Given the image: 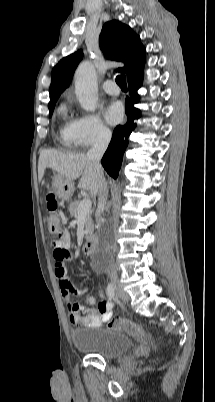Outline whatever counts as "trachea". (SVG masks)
<instances>
[{
	"instance_id": "obj_1",
	"label": "trachea",
	"mask_w": 215,
	"mask_h": 402,
	"mask_svg": "<svg viewBox=\"0 0 215 402\" xmlns=\"http://www.w3.org/2000/svg\"><path fill=\"white\" fill-rule=\"evenodd\" d=\"M116 83L119 85V87L121 89H127L126 76L125 75H118L116 77Z\"/></svg>"
}]
</instances>
